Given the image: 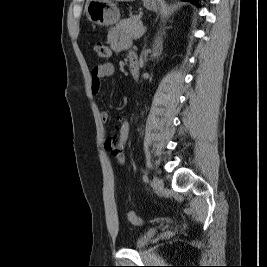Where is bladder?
I'll return each mask as SVG.
<instances>
[{
  "mask_svg": "<svg viewBox=\"0 0 267 267\" xmlns=\"http://www.w3.org/2000/svg\"><path fill=\"white\" fill-rule=\"evenodd\" d=\"M156 232H157V230L155 228H151V229L145 231L142 235H140L136 239V241L134 243V248L142 249L145 246H147L149 244V242L151 241V239L156 234Z\"/></svg>",
  "mask_w": 267,
  "mask_h": 267,
  "instance_id": "1",
  "label": "bladder"
}]
</instances>
